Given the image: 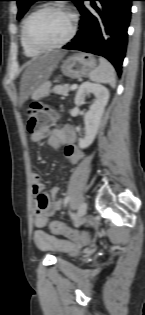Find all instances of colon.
<instances>
[{"mask_svg":"<svg viewBox=\"0 0 145 315\" xmlns=\"http://www.w3.org/2000/svg\"><path fill=\"white\" fill-rule=\"evenodd\" d=\"M55 112L39 103H33L27 111V131L31 134L48 128L55 121ZM50 231L55 235L67 236L73 239H85L86 234H81L59 221L50 223Z\"/></svg>","mask_w":145,"mask_h":315,"instance_id":"obj_1","label":"colon"}]
</instances>
